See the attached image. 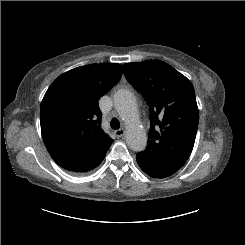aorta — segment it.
Masks as SVG:
<instances>
[{
	"label": "aorta",
	"mask_w": 245,
	"mask_h": 245,
	"mask_svg": "<svg viewBox=\"0 0 245 245\" xmlns=\"http://www.w3.org/2000/svg\"><path fill=\"white\" fill-rule=\"evenodd\" d=\"M115 108L126 124V143L136 152L147 145V135L138 121L136 98L129 90H119L114 95Z\"/></svg>",
	"instance_id": "762f6f07"
}]
</instances>
